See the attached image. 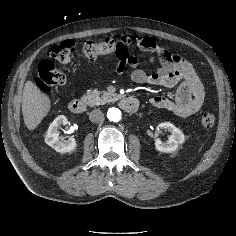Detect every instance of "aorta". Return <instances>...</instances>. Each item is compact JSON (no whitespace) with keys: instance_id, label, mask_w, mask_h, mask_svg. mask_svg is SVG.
I'll return each mask as SVG.
<instances>
[{"instance_id":"1","label":"aorta","mask_w":236,"mask_h":236,"mask_svg":"<svg viewBox=\"0 0 236 236\" xmlns=\"http://www.w3.org/2000/svg\"><path fill=\"white\" fill-rule=\"evenodd\" d=\"M107 117L112 122H118L121 118V111L117 108H110L107 112Z\"/></svg>"}]
</instances>
